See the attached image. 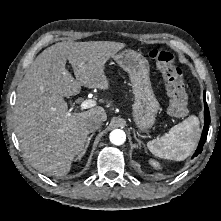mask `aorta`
Here are the masks:
<instances>
[{
    "instance_id": "1",
    "label": "aorta",
    "mask_w": 221,
    "mask_h": 221,
    "mask_svg": "<svg viewBox=\"0 0 221 221\" xmlns=\"http://www.w3.org/2000/svg\"><path fill=\"white\" fill-rule=\"evenodd\" d=\"M110 141L114 145H122L126 141V134L121 129H114L110 133Z\"/></svg>"
}]
</instances>
